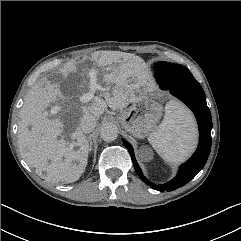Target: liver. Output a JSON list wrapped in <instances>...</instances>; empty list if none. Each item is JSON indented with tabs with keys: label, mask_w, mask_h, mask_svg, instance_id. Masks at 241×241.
Wrapping results in <instances>:
<instances>
[{
	"label": "liver",
	"mask_w": 241,
	"mask_h": 241,
	"mask_svg": "<svg viewBox=\"0 0 241 241\" xmlns=\"http://www.w3.org/2000/svg\"><path fill=\"white\" fill-rule=\"evenodd\" d=\"M91 60L93 67L89 72L81 73L83 81L77 85L75 96H65L56 83L41 82L29 90L20 110L18 144L22 156L39 174L46 171V179L53 183L75 182L86 169L89 143L79 128L82 116L92 114L98 118L108 107L123 109L135 102L144 93L142 88L148 84L145 62L134 54L101 51L96 52ZM76 72L75 63H67L62 69L63 82L69 84ZM92 85L98 88L93 89ZM97 90L101 91L104 99L92 96L91 102L84 100ZM76 97L85 105L80 106L78 111H72V106L64 110V113L73 114L77 123L70 135L72 142H68L58 139L63 128L60 117L51 119L46 108L57 100L64 103ZM48 160L50 163L46 165Z\"/></svg>",
	"instance_id": "obj_1"
}]
</instances>
